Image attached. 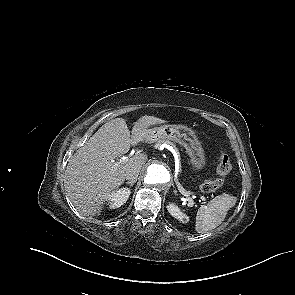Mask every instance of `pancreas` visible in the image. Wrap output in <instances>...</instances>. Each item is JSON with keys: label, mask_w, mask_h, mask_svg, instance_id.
<instances>
[{"label": "pancreas", "mask_w": 295, "mask_h": 295, "mask_svg": "<svg viewBox=\"0 0 295 295\" xmlns=\"http://www.w3.org/2000/svg\"><path fill=\"white\" fill-rule=\"evenodd\" d=\"M166 143H168V144H171L172 145V143H170V142H168V141H165ZM161 143H163V142H159V144H161Z\"/></svg>", "instance_id": "cf45deb5"}]
</instances>
